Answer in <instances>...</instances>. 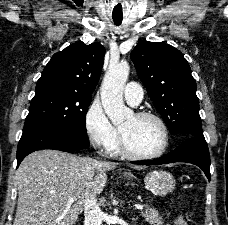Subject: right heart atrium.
<instances>
[{"instance_id": "obj_1", "label": "right heart atrium", "mask_w": 228, "mask_h": 225, "mask_svg": "<svg viewBox=\"0 0 228 225\" xmlns=\"http://www.w3.org/2000/svg\"><path fill=\"white\" fill-rule=\"evenodd\" d=\"M84 128L90 141L99 148H108L119 138L99 102H93L84 114Z\"/></svg>"}]
</instances>
